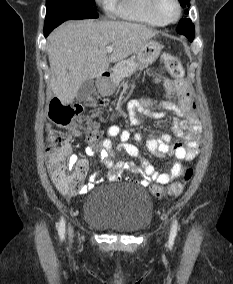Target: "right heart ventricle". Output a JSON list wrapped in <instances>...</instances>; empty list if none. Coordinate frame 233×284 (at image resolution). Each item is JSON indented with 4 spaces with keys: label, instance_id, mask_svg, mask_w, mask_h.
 <instances>
[{
    "label": "right heart ventricle",
    "instance_id": "right-heart-ventricle-1",
    "mask_svg": "<svg viewBox=\"0 0 233 284\" xmlns=\"http://www.w3.org/2000/svg\"><path fill=\"white\" fill-rule=\"evenodd\" d=\"M104 7L109 14L126 21L162 26L150 10V0H104Z\"/></svg>",
    "mask_w": 233,
    "mask_h": 284
}]
</instances>
